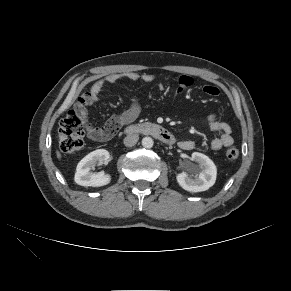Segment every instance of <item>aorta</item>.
<instances>
[{
	"mask_svg": "<svg viewBox=\"0 0 291 291\" xmlns=\"http://www.w3.org/2000/svg\"><path fill=\"white\" fill-rule=\"evenodd\" d=\"M154 144V141L151 137H144L142 139V146L144 148H152Z\"/></svg>",
	"mask_w": 291,
	"mask_h": 291,
	"instance_id": "1",
	"label": "aorta"
}]
</instances>
